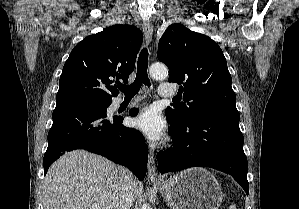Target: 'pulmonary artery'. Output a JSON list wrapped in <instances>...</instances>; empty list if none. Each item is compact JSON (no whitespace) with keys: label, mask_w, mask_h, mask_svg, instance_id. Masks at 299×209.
Segmentation results:
<instances>
[{"label":"pulmonary artery","mask_w":299,"mask_h":209,"mask_svg":"<svg viewBox=\"0 0 299 209\" xmlns=\"http://www.w3.org/2000/svg\"><path fill=\"white\" fill-rule=\"evenodd\" d=\"M158 93L162 97H173L176 94V89L171 84L161 83Z\"/></svg>","instance_id":"obj_1"}]
</instances>
